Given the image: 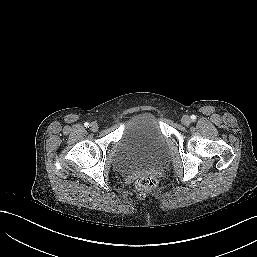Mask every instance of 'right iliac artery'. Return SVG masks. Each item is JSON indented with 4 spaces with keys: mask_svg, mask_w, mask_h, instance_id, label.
Instances as JSON below:
<instances>
[{
    "mask_svg": "<svg viewBox=\"0 0 257 257\" xmlns=\"http://www.w3.org/2000/svg\"><path fill=\"white\" fill-rule=\"evenodd\" d=\"M84 126H85L86 128H89L90 124H89L88 122H86V123L84 124Z\"/></svg>",
    "mask_w": 257,
    "mask_h": 257,
    "instance_id": "right-iliac-artery-1",
    "label": "right iliac artery"
}]
</instances>
